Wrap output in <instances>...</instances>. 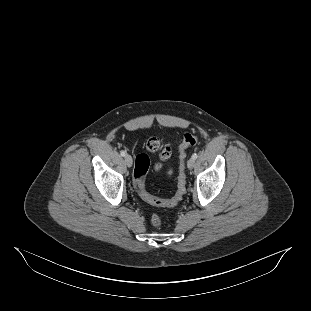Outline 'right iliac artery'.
Listing matches in <instances>:
<instances>
[{
  "label": "right iliac artery",
  "instance_id": "1",
  "mask_svg": "<svg viewBox=\"0 0 311 311\" xmlns=\"http://www.w3.org/2000/svg\"><path fill=\"white\" fill-rule=\"evenodd\" d=\"M120 154H121V156H123V157L126 156V152H125V151H121Z\"/></svg>",
  "mask_w": 311,
  "mask_h": 311
}]
</instances>
